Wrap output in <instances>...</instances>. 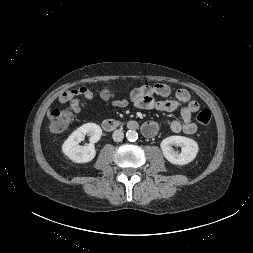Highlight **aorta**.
Listing matches in <instances>:
<instances>
[{
  "label": "aorta",
  "mask_w": 253,
  "mask_h": 253,
  "mask_svg": "<svg viewBox=\"0 0 253 253\" xmlns=\"http://www.w3.org/2000/svg\"><path fill=\"white\" fill-rule=\"evenodd\" d=\"M126 138L130 142H135L138 139V133L135 130H128Z\"/></svg>",
  "instance_id": "762f6f07"
}]
</instances>
